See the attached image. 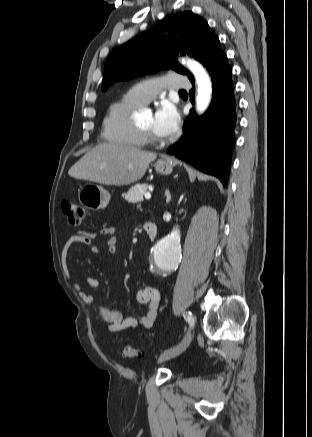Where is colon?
<instances>
[{"label": "colon", "mask_w": 312, "mask_h": 437, "mask_svg": "<svg viewBox=\"0 0 312 437\" xmlns=\"http://www.w3.org/2000/svg\"><path fill=\"white\" fill-rule=\"evenodd\" d=\"M62 210L66 215L68 222L72 225L80 224L84 217V209L70 200L62 202ZM122 351L123 355L126 357H135L139 354V351L133 345H125Z\"/></svg>", "instance_id": "5ec220e1"}]
</instances>
